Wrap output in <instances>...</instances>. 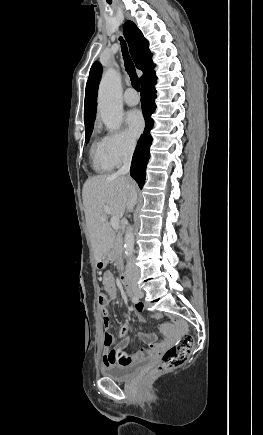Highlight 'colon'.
Instances as JSON below:
<instances>
[{"mask_svg":"<svg viewBox=\"0 0 263 435\" xmlns=\"http://www.w3.org/2000/svg\"><path fill=\"white\" fill-rule=\"evenodd\" d=\"M105 298L104 294H100L99 301L103 302ZM101 343L103 344L104 350H113L114 343L116 340V335L113 334L111 328H104L102 330ZM194 346V337L191 334H183L180 338L179 343L168 349L162 357L161 362L154 367L152 370L147 372L144 376V380H151L160 374L168 372L174 368H177L184 364L189 354L191 353Z\"/></svg>","mask_w":263,"mask_h":435,"instance_id":"1","label":"colon"}]
</instances>
